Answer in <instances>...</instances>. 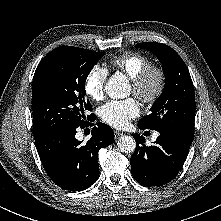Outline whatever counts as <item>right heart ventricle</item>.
<instances>
[{"label":"right heart ventricle","instance_id":"1","mask_svg":"<svg viewBox=\"0 0 221 221\" xmlns=\"http://www.w3.org/2000/svg\"><path fill=\"white\" fill-rule=\"evenodd\" d=\"M111 64L133 79L144 69L151 66L152 60L149 56L139 52H125L113 57Z\"/></svg>","mask_w":221,"mask_h":221}]
</instances>
